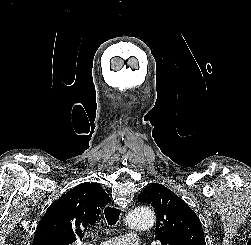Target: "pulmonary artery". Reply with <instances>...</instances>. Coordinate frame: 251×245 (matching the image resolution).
I'll list each match as a JSON object with an SVG mask.
<instances>
[{
    "instance_id": "e3ab8cb5",
    "label": "pulmonary artery",
    "mask_w": 251,
    "mask_h": 245,
    "mask_svg": "<svg viewBox=\"0 0 251 245\" xmlns=\"http://www.w3.org/2000/svg\"><path fill=\"white\" fill-rule=\"evenodd\" d=\"M139 238L135 235H124L102 243L101 245H138Z\"/></svg>"
}]
</instances>
